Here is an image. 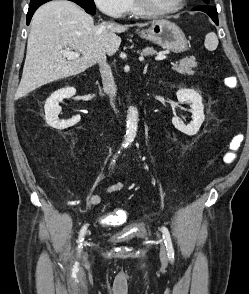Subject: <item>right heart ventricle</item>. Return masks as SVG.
I'll return each mask as SVG.
<instances>
[{
    "label": "right heart ventricle",
    "instance_id": "1",
    "mask_svg": "<svg viewBox=\"0 0 249 294\" xmlns=\"http://www.w3.org/2000/svg\"><path fill=\"white\" fill-rule=\"evenodd\" d=\"M125 13L131 14V15H140L141 14L137 9L134 0H127L126 1Z\"/></svg>",
    "mask_w": 249,
    "mask_h": 294
}]
</instances>
